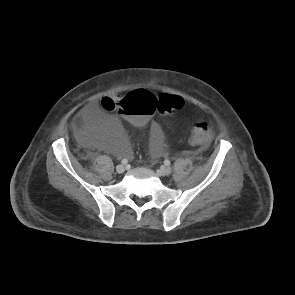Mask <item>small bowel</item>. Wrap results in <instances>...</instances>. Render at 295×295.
Masks as SVG:
<instances>
[{
    "mask_svg": "<svg viewBox=\"0 0 295 295\" xmlns=\"http://www.w3.org/2000/svg\"><path fill=\"white\" fill-rule=\"evenodd\" d=\"M78 123L81 128L86 130L91 138H96L103 127L114 126L115 122L108 119L98 106H86L78 115ZM150 147L153 156H158L162 150L161 130L156 123L150 126ZM116 151L130 158L131 148L125 142L115 148Z\"/></svg>",
    "mask_w": 295,
    "mask_h": 295,
    "instance_id": "obj_1",
    "label": "small bowel"
}]
</instances>
